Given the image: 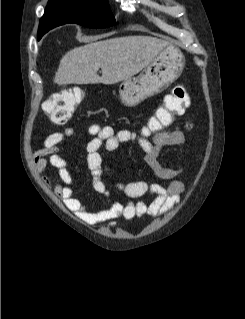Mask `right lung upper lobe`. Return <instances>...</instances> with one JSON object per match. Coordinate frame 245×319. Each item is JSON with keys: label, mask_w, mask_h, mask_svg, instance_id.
Here are the masks:
<instances>
[{"label": "right lung upper lobe", "mask_w": 245, "mask_h": 319, "mask_svg": "<svg viewBox=\"0 0 245 319\" xmlns=\"http://www.w3.org/2000/svg\"><path fill=\"white\" fill-rule=\"evenodd\" d=\"M52 1H59V0H49V2H52ZM48 2V3H49ZM50 26H56V22H54L51 17H50V11L46 10L45 11V14L44 16L41 18V21H40V28L42 30L46 29V28H49ZM40 35V34H39Z\"/></svg>", "instance_id": "cb5924a9"}]
</instances>
